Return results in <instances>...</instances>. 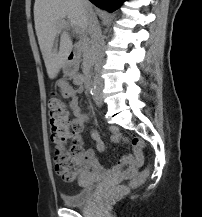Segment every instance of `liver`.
I'll use <instances>...</instances> for the list:
<instances>
[{
    "label": "liver",
    "instance_id": "liver-1",
    "mask_svg": "<svg viewBox=\"0 0 202 217\" xmlns=\"http://www.w3.org/2000/svg\"><path fill=\"white\" fill-rule=\"evenodd\" d=\"M65 18L82 32L87 31V13L80 0H35V30L50 79L58 75L73 47L69 34L63 31L59 51L54 48L55 38L63 29Z\"/></svg>",
    "mask_w": 202,
    "mask_h": 217
}]
</instances>
